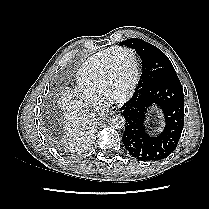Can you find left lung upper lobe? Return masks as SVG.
Returning a JSON list of instances; mask_svg holds the SVG:
<instances>
[{"label":"left lung upper lobe","instance_id":"1","mask_svg":"<svg viewBox=\"0 0 209 209\" xmlns=\"http://www.w3.org/2000/svg\"><path fill=\"white\" fill-rule=\"evenodd\" d=\"M121 44L135 49L142 58L143 72L137 89L153 86L160 79L177 75L168 57L154 45L138 38L127 39Z\"/></svg>","mask_w":209,"mask_h":209}]
</instances>
